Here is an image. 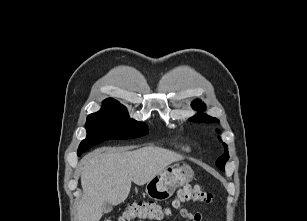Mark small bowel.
<instances>
[{
  "label": "small bowel",
  "mask_w": 307,
  "mask_h": 221,
  "mask_svg": "<svg viewBox=\"0 0 307 221\" xmlns=\"http://www.w3.org/2000/svg\"><path fill=\"white\" fill-rule=\"evenodd\" d=\"M179 215L181 218H183L185 221H202V215L200 213H191L186 208H180L179 209Z\"/></svg>",
  "instance_id": "small-bowel-1"
}]
</instances>
